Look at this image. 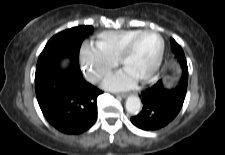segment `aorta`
I'll use <instances>...</instances> for the list:
<instances>
[{"instance_id":"1","label":"aorta","mask_w":225,"mask_h":155,"mask_svg":"<svg viewBox=\"0 0 225 155\" xmlns=\"http://www.w3.org/2000/svg\"><path fill=\"white\" fill-rule=\"evenodd\" d=\"M126 110L130 114H138L141 110V101L137 96H129L125 104Z\"/></svg>"}]
</instances>
